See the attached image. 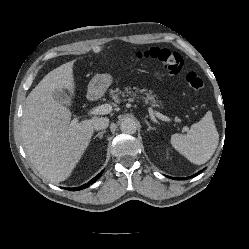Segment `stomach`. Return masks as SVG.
<instances>
[{"instance_id":"stomach-1","label":"stomach","mask_w":249,"mask_h":249,"mask_svg":"<svg viewBox=\"0 0 249 249\" xmlns=\"http://www.w3.org/2000/svg\"><path fill=\"white\" fill-rule=\"evenodd\" d=\"M112 76L109 74H97L89 83L88 89L92 93H104L112 83Z\"/></svg>"}]
</instances>
